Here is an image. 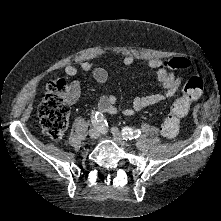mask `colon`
Wrapping results in <instances>:
<instances>
[{"mask_svg": "<svg viewBox=\"0 0 221 221\" xmlns=\"http://www.w3.org/2000/svg\"><path fill=\"white\" fill-rule=\"evenodd\" d=\"M163 67L172 70H183L190 67V61L183 57L168 59ZM204 80L200 76L191 77L184 85L182 96L174 101L169 114L161 126L164 137L176 139L181 119L185 116L189 104L197 99L204 90ZM71 89L65 79L51 83L38 108L41 129L52 139H60L68 126L70 114L69 98Z\"/></svg>", "mask_w": 221, "mask_h": 221, "instance_id": "5ec220e1", "label": "colon"}]
</instances>
